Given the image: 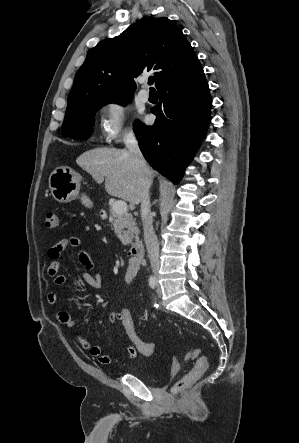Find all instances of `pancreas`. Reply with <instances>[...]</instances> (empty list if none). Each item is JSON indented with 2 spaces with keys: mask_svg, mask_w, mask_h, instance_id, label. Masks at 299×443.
<instances>
[{
  "mask_svg": "<svg viewBox=\"0 0 299 443\" xmlns=\"http://www.w3.org/2000/svg\"><path fill=\"white\" fill-rule=\"evenodd\" d=\"M110 222L113 225L114 232L123 245H128L139 235V228L136 226L135 219L131 214H117L112 206L109 208Z\"/></svg>",
  "mask_w": 299,
  "mask_h": 443,
  "instance_id": "obj_1",
  "label": "pancreas"
}]
</instances>
